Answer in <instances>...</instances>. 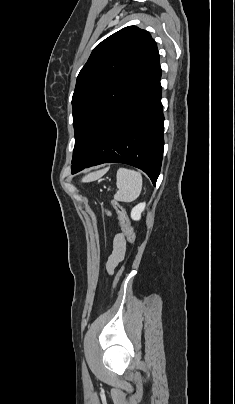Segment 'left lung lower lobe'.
I'll list each match as a JSON object with an SVG mask.
<instances>
[{"label": "left lung lower lobe", "mask_w": 235, "mask_h": 404, "mask_svg": "<svg viewBox=\"0 0 235 404\" xmlns=\"http://www.w3.org/2000/svg\"><path fill=\"white\" fill-rule=\"evenodd\" d=\"M160 78L159 65L110 115L72 173L119 162L143 170L156 184L164 147Z\"/></svg>", "instance_id": "0a47b994"}]
</instances>
